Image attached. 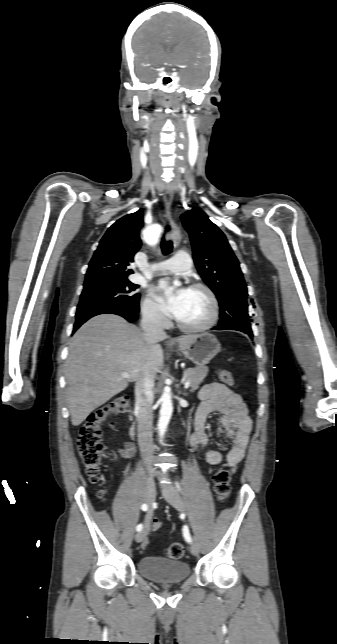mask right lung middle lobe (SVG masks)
Here are the masks:
<instances>
[{"label": "right lung middle lobe", "mask_w": 337, "mask_h": 644, "mask_svg": "<svg viewBox=\"0 0 337 644\" xmlns=\"http://www.w3.org/2000/svg\"><path fill=\"white\" fill-rule=\"evenodd\" d=\"M139 285L128 279H95L86 281L76 317L108 308H137L140 294H134Z\"/></svg>", "instance_id": "right-lung-middle-lobe-1"}]
</instances>
